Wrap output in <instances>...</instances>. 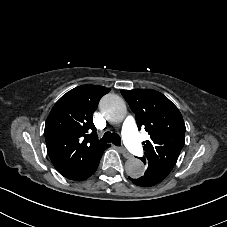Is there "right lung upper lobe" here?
<instances>
[{
    "label": "right lung upper lobe",
    "instance_id": "obj_1",
    "mask_svg": "<svg viewBox=\"0 0 227 227\" xmlns=\"http://www.w3.org/2000/svg\"><path fill=\"white\" fill-rule=\"evenodd\" d=\"M111 89L82 85L64 94L54 105L45 124V140L54 167H79L87 157L103 152L110 145L98 140L93 113L99 100Z\"/></svg>",
    "mask_w": 227,
    "mask_h": 227
}]
</instances>
